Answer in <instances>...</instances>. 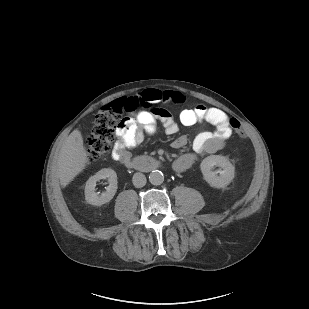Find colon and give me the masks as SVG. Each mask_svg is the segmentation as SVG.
I'll list each match as a JSON object with an SVG mask.
<instances>
[{
    "mask_svg": "<svg viewBox=\"0 0 309 309\" xmlns=\"http://www.w3.org/2000/svg\"><path fill=\"white\" fill-rule=\"evenodd\" d=\"M130 105L129 98L118 99L103 106L97 113L91 134L86 141L85 160L87 164H93L110 153L118 130L124 128L128 122L124 113L130 111ZM231 125L240 138H247V133L237 120H232Z\"/></svg>",
    "mask_w": 309,
    "mask_h": 309,
    "instance_id": "colon-1",
    "label": "colon"
}]
</instances>
